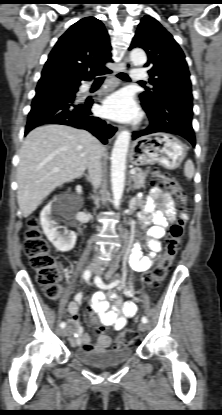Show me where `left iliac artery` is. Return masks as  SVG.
<instances>
[{"instance_id": "left-iliac-artery-1", "label": "left iliac artery", "mask_w": 222, "mask_h": 415, "mask_svg": "<svg viewBox=\"0 0 222 415\" xmlns=\"http://www.w3.org/2000/svg\"><path fill=\"white\" fill-rule=\"evenodd\" d=\"M111 274H112V270H110L107 273V276L109 277ZM95 283L98 287L105 288V289H110V288L115 287L119 283V281H115V282L110 283L109 285H106L99 277H96L95 278ZM147 321H148L147 317L143 316L142 317V322L147 323Z\"/></svg>"}]
</instances>
